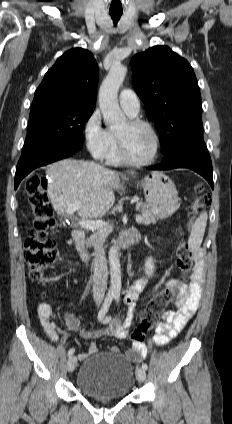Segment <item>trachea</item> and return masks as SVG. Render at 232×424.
I'll return each mask as SVG.
<instances>
[{
    "mask_svg": "<svg viewBox=\"0 0 232 424\" xmlns=\"http://www.w3.org/2000/svg\"><path fill=\"white\" fill-rule=\"evenodd\" d=\"M122 15V12H110V16L114 21V24H116L118 22V20L120 19Z\"/></svg>",
    "mask_w": 232,
    "mask_h": 424,
    "instance_id": "trachea-1",
    "label": "trachea"
}]
</instances>
